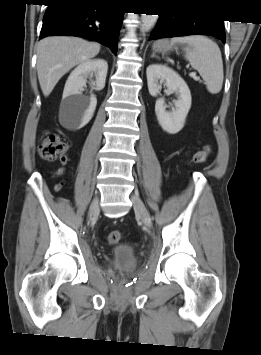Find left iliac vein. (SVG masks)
<instances>
[{"mask_svg": "<svg viewBox=\"0 0 261 355\" xmlns=\"http://www.w3.org/2000/svg\"><path fill=\"white\" fill-rule=\"evenodd\" d=\"M131 200H132L133 207H134L136 214L140 217V219L142 220L144 225L146 227H148L149 229H151L152 228V221H151L150 214H149L148 210L146 209L144 203L140 199V197L138 195H133L131 197Z\"/></svg>", "mask_w": 261, "mask_h": 355, "instance_id": "obj_1", "label": "left iliac vein"}]
</instances>
